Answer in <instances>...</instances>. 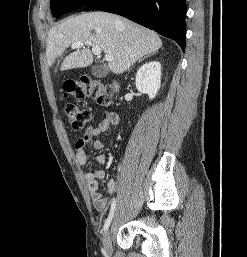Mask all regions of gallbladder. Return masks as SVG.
<instances>
[{"label":"gallbladder","mask_w":247,"mask_h":257,"mask_svg":"<svg viewBox=\"0 0 247 257\" xmlns=\"http://www.w3.org/2000/svg\"><path fill=\"white\" fill-rule=\"evenodd\" d=\"M108 74V68L104 65H95L92 68V75L97 78H104Z\"/></svg>","instance_id":"obj_1"}]
</instances>
